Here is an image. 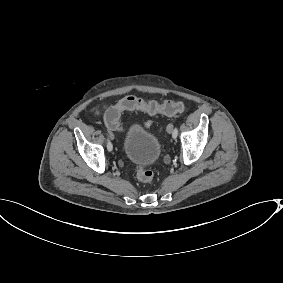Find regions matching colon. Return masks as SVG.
<instances>
[{"instance_id": "obj_1", "label": "colon", "mask_w": 283, "mask_h": 283, "mask_svg": "<svg viewBox=\"0 0 283 283\" xmlns=\"http://www.w3.org/2000/svg\"><path fill=\"white\" fill-rule=\"evenodd\" d=\"M185 104L181 101H166L159 104L154 101L146 102L137 97H127L122 99L118 104L109 108L104 116V122L108 129L118 131L121 129L120 116L124 111L139 110L150 115L165 114L174 115L184 111ZM149 122L147 123V125ZM136 176L140 182L151 183L154 180V173L144 166L136 167Z\"/></svg>"}]
</instances>
